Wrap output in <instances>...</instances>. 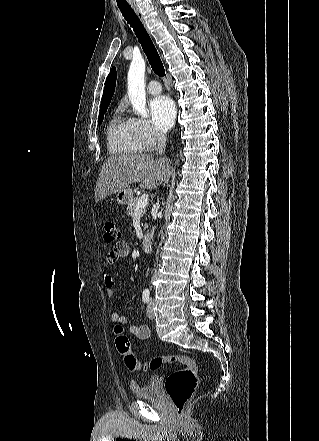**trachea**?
<instances>
[{
	"label": "trachea",
	"mask_w": 319,
	"mask_h": 441,
	"mask_svg": "<svg viewBox=\"0 0 319 441\" xmlns=\"http://www.w3.org/2000/svg\"><path fill=\"white\" fill-rule=\"evenodd\" d=\"M118 7L127 23L133 28L154 73L159 77L165 76V69L157 49L138 16L130 6L118 5Z\"/></svg>",
	"instance_id": "1"
}]
</instances>
